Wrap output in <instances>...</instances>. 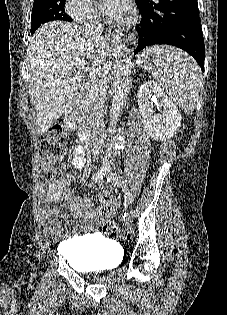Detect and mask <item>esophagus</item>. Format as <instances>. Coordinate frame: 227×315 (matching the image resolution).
<instances>
[{
	"instance_id": "esophagus-1",
	"label": "esophagus",
	"mask_w": 227,
	"mask_h": 315,
	"mask_svg": "<svg viewBox=\"0 0 227 315\" xmlns=\"http://www.w3.org/2000/svg\"><path fill=\"white\" fill-rule=\"evenodd\" d=\"M108 37H111L113 39V41L120 43L121 42V36L118 32H109Z\"/></svg>"
}]
</instances>
